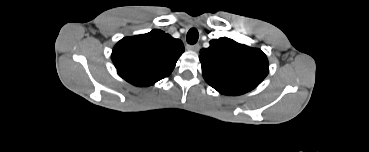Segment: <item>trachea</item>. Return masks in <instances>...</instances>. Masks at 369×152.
Listing matches in <instances>:
<instances>
[{
  "label": "trachea",
  "instance_id": "trachea-1",
  "mask_svg": "<svg viewBox=\"0 0 369 152\" xmlns=\"http://www.w3.org/2000/svg\"><path fill=\"white\" fill-rule=\"evenodd\" d=\"M199 38V33L197 31V29L192 28L188 31L187 33V43L190 45H194Z\"/></svg>",
  "mask_w": 369,
  "mask_h": 152
}]
</instances>
